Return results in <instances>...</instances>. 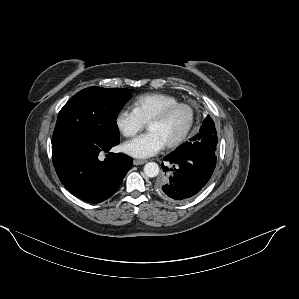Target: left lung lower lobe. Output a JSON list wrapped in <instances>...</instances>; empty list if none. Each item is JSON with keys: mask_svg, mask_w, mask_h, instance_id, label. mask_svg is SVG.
<instances>
[{"mask_svg": "<svg viewBox=\"0 0 299 299\" xmlns=\"http://www.w3.org/2000/svg\"><path fill=\"white\" fill-rule=\"evenodd\" d=\"M209 138L201 137L189 141L164 160L171 164L168 168L162 163L166 177L156 185L157 194L165 200L181 201L197 194L209 181L216 166V155Z\"/></svg>", "mask_w": 299, "mask_h": 299, "instance_id": "obj_1", "label": "left lung lower lobe"}]
</instances>
